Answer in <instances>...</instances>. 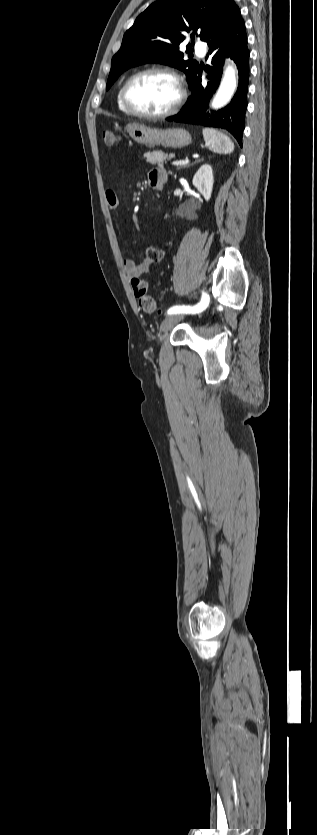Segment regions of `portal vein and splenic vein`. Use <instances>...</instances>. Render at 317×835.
<instances>
[{"mask_svg":"<svg viewBox=\"0 0 317 835\" xmlns=\"http://www.w3.org/2000/svg\"><path fill=\"white\" fill-rule=\"evenodd\" d=\"M188 162H189L188 160H185V161L184 160H176V161H173L171 163V165L179 166V165H182V164H185V163H188Z\"/></svg>","mask_w":317,"mask_h":835,"instance_id":"obj_1","label":"portal vein and splenic vein"}]
</instances>
